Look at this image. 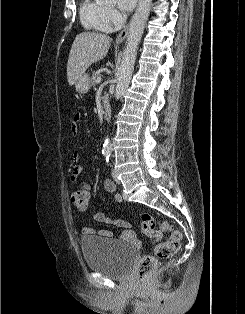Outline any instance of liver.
I'll return each mask as SVG.
<instances>
[{"label": "liver", "mask_w": 245, "mask_h": 314, "mask_svg": "<svg viewBox=\"0 0 245 314\" xmlns=\"http://www.w3.org/2000/svg\"><path fill=\"white\" fill-rule=\"evenodd\" d=\"M112 39L102 33L83 32L76 36L68 58L67 79L70 86L97 61L103 59Z\"/></svg>", "instance_id": "6515ba94"}]
</instances>
